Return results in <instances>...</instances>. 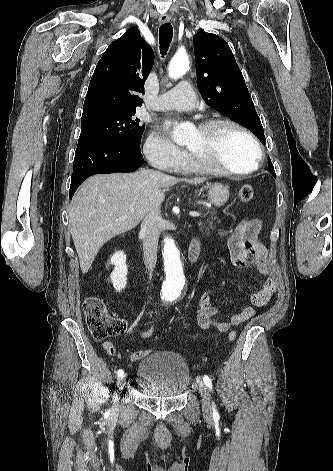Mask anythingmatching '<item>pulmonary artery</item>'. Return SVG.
I'll return each mask as SVG.
<instances>
[{
    "instance_id": "1",
    "label": "pulmonary artery",
    "mask_w": 333,
    "mask_h": 471,
    "mask_svg": "<svg viewBox=\"0 0 333 471\" xmlns=\"http://www.w3.org/2000/svg\"><path fill=\"white\" fill-rule=\"evenodd\" d=\"M196 97L188 82H181L170 91L160 95L155 108L161 111L191 110L195 107Z\"/></svg>"
}]
</instances>
